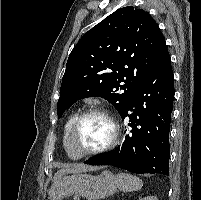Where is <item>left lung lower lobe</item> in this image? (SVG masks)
I'll return each mask as SVG.
<instances>
[{
    "instance_id": "left-lung-lower-lobe-1",
    "label": "left lung lower lobe",
    "mask_w": 201,
    "mask_h": 200,
    "mask_svg": "<svg viewBox=\"0 0 201 200\" xmlns=\"http://www.w3.org/2000/svg\"><path fill=\"white\" fill-rule=\"evenodd\" d=\"M173 71L167 51L132 94L122 119L132 130L115 150L90 158V165H112L133 173L169 175V130L174 99ZM131 114H128L129 112Z\"/></svg>"
}]
</instances>
